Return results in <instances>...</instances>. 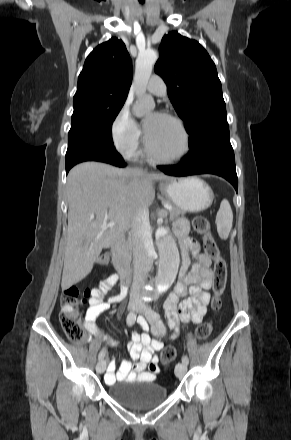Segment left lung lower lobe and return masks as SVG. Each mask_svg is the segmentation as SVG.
I'll return each instance as SVG.
<instances>
[{
  "label": "left lung lower lobe",
  "mask_w": 291,
  "mask_h": 440,
  "mask_svg": "<svg viewBox=\"0 0 291 440\" xmlns=\"http://www.w3.org/2000/svg\"><path fill=\"white\" fill-rule=\"evenodd\" d=\"M158 169L171 176L215 174L228 180L238 190L234 151L229 130L216 132L197 145L177 165H162Z\"/></svg>",
  "instance_id": "0a47b994"
}]
</instances>
